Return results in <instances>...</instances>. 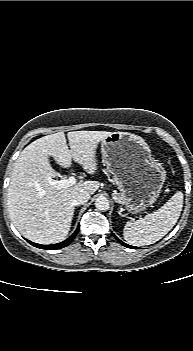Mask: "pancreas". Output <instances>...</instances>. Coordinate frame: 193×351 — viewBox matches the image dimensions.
<instances>
[{"label": "pancreas", "instance_id": "cf45deb5", "mask_svg": "<svg viewBox=\"0 0 193 351\" xmlns=\"http://www.w3.org/2000/svg\"><path fill=\"white\" fill-rule=\"evenodd\" d=\"M116 198H117L118 202L123 203V202H124V199H125V194H124L123 192L118 193V194L116 195Z\"/></svg>", "mask_w": 193, "mask_h": 351}]
</instances>
